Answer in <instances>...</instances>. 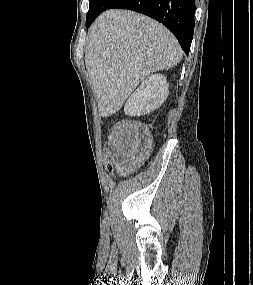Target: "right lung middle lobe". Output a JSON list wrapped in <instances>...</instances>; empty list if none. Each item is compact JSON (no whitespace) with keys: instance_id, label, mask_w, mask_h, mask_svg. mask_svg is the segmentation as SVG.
<instances>
[{"instance_id":"1","label":"right lung middle lobe","mask_w":253,"mask_h":285,"mask_svg":"<svg viewBox=\"0 0 253 285\" xmlns=\"http://www.w3.org/2000/svg\"><path fill=\"white\" fill-rule=\"evenodd\" d=\"M114 0H89V11L86 16V27L101 14Z\"/></svg>"}]
</instances>
